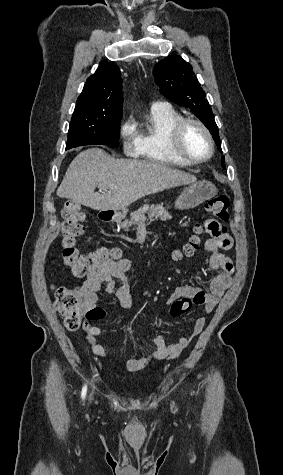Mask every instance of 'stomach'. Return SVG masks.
Returning <instances> with one entry per match:
<instances>
[{
    "label": "stomach",
    "instance_id": "stomach-1",
    "mask_svg": "<svg viewBox=\"0 0 283 475\" xmlns=\"http://www.w3.org/2000/svg\"><path fill=\"white\" fill-rule=\"evenodd\" d=\"M217 190L212 184V182H195L191 184L188 188H185L184 192H181L179 198L175 202V208L178 210H190V208H196L199 204H203L205 200H210L216 196ZM128 210L123 208V210H116L114 216V222H121L126 218Z\"/></svg>",
    "mask_w": 283,
    "mask_h": 475
}]
</instances>
